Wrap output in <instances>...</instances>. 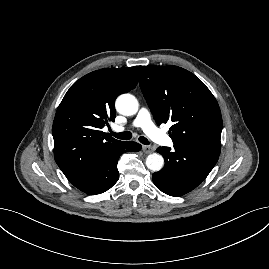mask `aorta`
Segmentation results:
<instances>
[{"label": "aorta", "instance_id": "aorta-1", "mask_svg": "<svg viewBox=\"0 0 269 269\" xmlns=\"http://www.w3.org/2000/svg\"><path fill=\"white\" fill-rule=\"evenodd\" d=\"M116 110L125 116H131L137 113L139 104L137 99L131 94L120 95L115 103ZM164 159L160 154L153 153L147 156L146 166L148 169L157 172L163 168Z\"/></svg>", "mask_w": 269, "mask_h": 269}]
</instances>
